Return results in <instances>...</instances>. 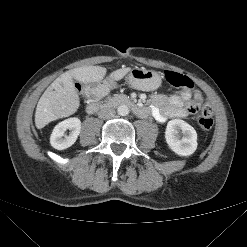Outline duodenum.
<instances>
[{"instance_id":"obj_1","label":"duodenum","mask_w":247,"mask_h":247,"mask_svg":"<svg viewBox=\"0 0 247 247\" xmlns=\"http://www.w3.org/2000/svg\"><path fill=\"white\" fill-rule=\"evenodd\" d=\"M115 103H120L128 106L134 113L138 115H144L146 113V110L142 106H140L137 102L133 101L129 97L125 96L117 97L114 100H109L107 102H100L98 99L91 95L87 104V110L89 112L108 110Z\"/></svg>"}]
</instances>
